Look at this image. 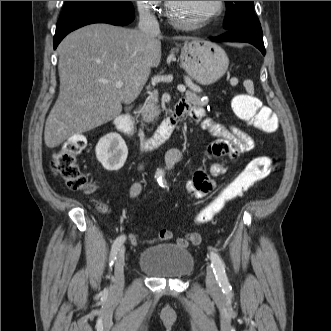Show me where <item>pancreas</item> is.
Segmentation results:
<instances>
[{"label":"pancreas","instance_id":"obj_1","mask_svg":"<svg viewBox=\"0 0 331 331\" xmlns=\"http://www.w3.org/2000/svg\"><path fill=\"white\" fill-rule=\"evenodd\" d=\"M200 90L195 86V89H191L186 92V98L188 101L195 105L204 106L208 103V99L201 100V96L198 95ZM158 103V95L156 93L151 94L144 105L137 111L138 115H142L145 122H151L160 114Z\"/></svg>","mask_w":331,"mask_h":331}]
</instances>
